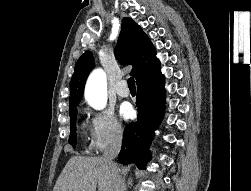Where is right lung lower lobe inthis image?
I'll return each instance as SVG.
<instances>
[{
	"instance_id": "obj_1",
	"label": "right lung lower lobe",
	"mask_w": 251,
	"mask_h": 191,
	"mask_svg": "<svg viewBox=\"0 0 251 191\" xmlns=\"http://www.w3.org/2000/svg\"><path fill=\"white\" fill-rule=\"evenodd\" d=\"M164 84V76L161 74L150 82L137 86L138 118L125 128L122 148L118 155L120 163H135L137 167L144 168L150 160L151 155L147 148L164 114Z\"/></svg>"
}]
</instances>
